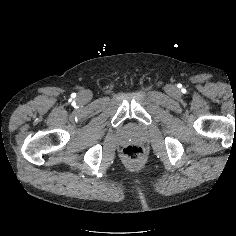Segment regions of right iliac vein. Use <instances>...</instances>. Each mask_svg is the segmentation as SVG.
<instances>
[{
  "instance_id": "obj_1",
  "label": "right iliac vein",
  "mask_w": 236,
  "mask_h": 236,
  "mask_svg": "<svg viewBox=\"0 0 236 236\" xmlns=\"http://www.w3.org/2000/svg\"><path fill=\"white\" fill-rule=\"evenodd\" d=\"M77 100L79 103L85 104L90 100V93L88 91H82L78 94Z\"/></svg>"
}]
</instances>
